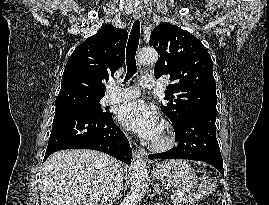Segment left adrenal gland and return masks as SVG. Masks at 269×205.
Returning <instances> with one entry per match:
<instances>
[{
	"label": "left adrenal gland",
	"mask_w": 269,
	"mask_h": 205,
	"mask_svg": "<svg viewBox=\"0 0 269 205\" xmlns=\"http://www.w3.org/2000/svg\"><path fill=\"white\" fill-rule=\"evenodd\" d=\"M154 191H155L156 194H161V193L164 192V191L161 189L160 184H158V183H155V185H154Z\"/></svg>",
	"instance_id": "left-adrenal-gland-1"
}]
</instances>
